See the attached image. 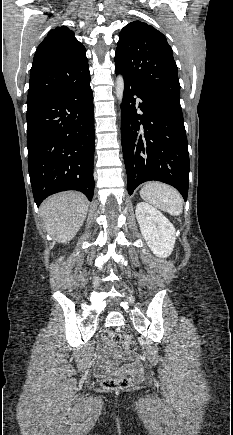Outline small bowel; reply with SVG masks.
<instances>
[{
  "mask_svg": "<svg viewBox=\"0 0 233 435\" xmlns=\"http://www.w3.org/2000/svg\"><path fill=\"white\" fill-rule=\"evenodd\" d=\"M99 351L102 358L95 365V372L98 376H106L116 373L120 370H125L133 374L143 373L138 357L134 353L121 354L117 348L110 346L108 339H102L99 344ZM120 362H127L122 367H118Z\"/></svg>",
  "mask_w": 233,
  "mask_h": 435,
  "instance_id": "small-bowel-1",
  "label": "small bowel"
}]
</instances>
